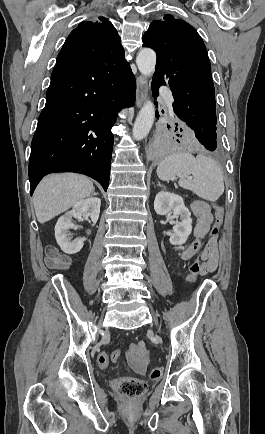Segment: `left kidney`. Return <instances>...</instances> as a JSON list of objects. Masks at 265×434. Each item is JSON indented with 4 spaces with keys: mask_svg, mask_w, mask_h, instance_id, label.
I'll return each mask as SVG.
<instances>
[{
    "mask_svg": "<svg viewBox=\"0 0 265 434\" xmlns=\"http://www.w3.org/2000/svg\"><path fill=\"white\" fill-rule=\"evenodd\" d=\"M154 210L158 216H166L173 214V218H180L181 222H176L173 226L172 236L169 238L170 244L173 246H182L188 240L192 232L191 212L184 206L183 198L177 194L170 192H159L154 200Z\"/></svg>",
    "mask_w": 265,
    "mask_h": 434,
    "instance_id": "obj_1",
    "label": "left kidney"
}]
</instances>
